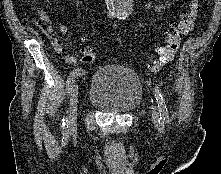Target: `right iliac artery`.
<instances>
[{
	"label": "right iliac artery",
	"instance_id": "obj_1",
	"mask_svg": "<svg viewBox=\"0 0 221 174\" xmlns=\"http://www.w3.org/2000/svg\"><path fill=\"white\" fill-rule=\"evenodd\" d=\"M84 73V71L80 68L78 69H74L70 75L68 76V79L66 81L67 83V93L69 94L71 92V89H72V85L75 81L76 78H78L80 75H82ZM62 127H68V124H67V118L66 117H63L62 119Z\"/></svg>",
	"mask_w": 221,
	"mask_h": 174
}]
</instances>
